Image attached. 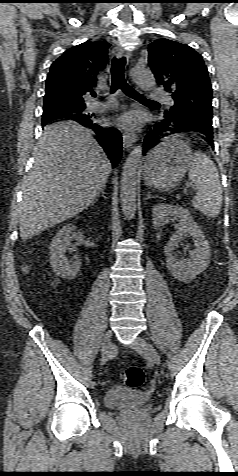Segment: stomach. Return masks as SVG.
<instances>
[{"label": "stomach", "instance_id": "1", "mask_svg": "<svg viewBox=\"0 0 238 476\" xmlns=\"http://www.w3.org/2000/svg\"><path fill=\"white\" fill-rule=\"evenodd\" d=\"M193 161L189 145L177 136L164 139L149 152L144 164L146 183L158 190L174 188Z\"/></svg>", "mask_w": 238, "mask_h": 476}]
</instances>
